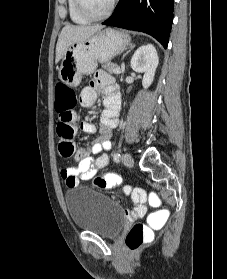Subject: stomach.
Here are the masks:
<instances>
[{
	"label": "stomach",
	"instance_id": "stomach-1",
	"mask_svg": "<svg viewBox=\"0 0 227 279\" xmlns=\"http://www.w3.org/2000/svg\"><path fill=\"white\" fill-rule=\"evenodd\" d=\"M130 41L128 34L108 28L72 44L65 52L58 69L60 81L70 87L78 86L83 75L96 70L98 62H109L126 50Z\"/></svg>",
	"mask_w": 227,
	"mask_h": 279
}]
</instances>
